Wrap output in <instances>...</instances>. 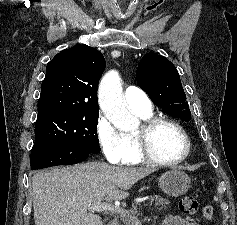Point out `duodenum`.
Masks as SVG:
<instances>
[{"instance_id": "obj_1", "label": "duodenum", "mask_w": 237, "mask_h": 225, "mask_svg": "<svg viewBox=\"0 0 237 225\" xmlns=\"http://www.w3.org/2000/svg\"><path fill=\"white\" fill-rule=\"evenodd\" d=\"M109 225H119L116 220H112L109 222Z\"/></svg>"}]
</instances>
